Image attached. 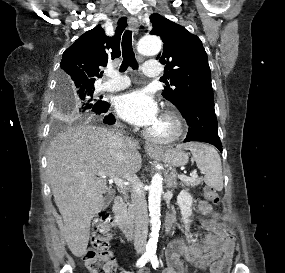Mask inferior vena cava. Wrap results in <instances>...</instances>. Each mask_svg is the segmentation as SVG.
Segmentation results:
<instances>
[{
  "label": "inferior vena cava",
  "instance_id": "inferior-vena-cava-1",
  "mask_svg": "<svg viewBox=\"0 0 285 273\" xmlns=\"http://www.w3.org/2000/svg\"><path fill=\"white\" fill-rule=\"evenodd\" d=\"M111 134V146L114 148L115 155L118 161L123 160V138L117 133L110 132ZM126 179L132 183L131 198L134 209V247L137 253H143L146 250V240L148 234V213L147 203L145 196L140 188V181L135 174H128Z\"/></svg>",
  "mask_w": 285,
  "mask_h": 273
}]
</instances>
